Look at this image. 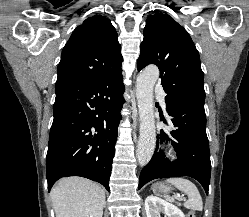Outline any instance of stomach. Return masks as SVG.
<instances>
[{
  "label": "stomach",
  "mask_w": 249,
  "mask_h": 217,
  "mask_svg": "<svg viewBox=\"0 0 249 217\" xmlns=\"http://www.w3.org/2000/svg\"><path fill=\"white\" fill-rule=\"evenodd\" d=\"M171 186L165 184V183H157L153 186L154 191H158L161 193H168L171 191Z\"/></svg>",
  "instance_id": "stomach-1"
}]
</instances>
